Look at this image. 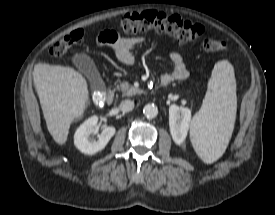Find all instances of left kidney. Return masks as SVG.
I'll use <instances>...</instances> for the list:
<instances>
[{"label": "left kidney", "instance_id": "obj_1", "mask_svg": "<svg viewBox=\"0 0 275 215\" xmlns=\"http://www.w3.org/2000/svg\"><path fill=\"white\" fill-rule=\"evenodd\" d=\"M191 121V110L172 105L169 108V127L172 138L176 144L185 141Z\"/></svg>", "mask_w": 275, "mask_h": 215}]
</instances>
